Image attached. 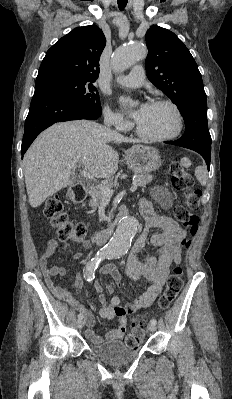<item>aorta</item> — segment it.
Returning a JSON list of instances; mask_svg holds the SVG:
<instances>
[{
    "mask_svg": "<svg viewBox=\"0 0 232 399\" xmlns=\"http://www.w3.org/2000/svg\"><path fill=\"white\" fill-rule=\"evenodd\" d=\"M146 55L147 49L141 43L122 46L114 52L111 60L112 69L115 73L123 72L137 61L144 59ZM138 226L136 218L130 216L122 218L116 232L101 253L109 257L125 255L131 246L132 238L138 231Z\"/></svg>",
    "mask_w": 232,
    "mask_h": 399,
    "instance_id": "obj_1",
    "label": "aorta"
}]
</instances>
